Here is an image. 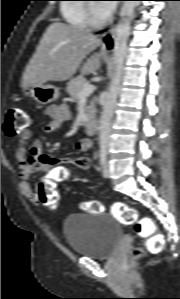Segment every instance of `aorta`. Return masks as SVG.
<instances>
[{"label":"aorta","instance_id":"1","mask_svg":"<svg viewBox=\"0 0 180 299\" xmlns=\"http://www.w3.org/2000/svg\"><path fill=\"white\" fill-rule=\"evenodd\" d=\"M137 1H124L121 8V18L115 31L114 64L115 73L111 81L109 92L106 95L100 120V146L107 148L109 144L111 120L113 118L117 96L120 91L126 57L127 39L130 31V23L133 17Z\"/></svg>","mask_w":180,"mask_h":299}]
</instances>
